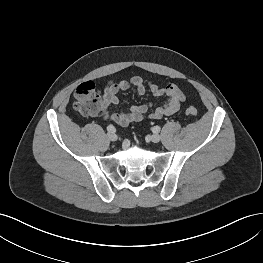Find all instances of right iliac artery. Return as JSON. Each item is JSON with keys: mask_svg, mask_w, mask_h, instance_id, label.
I'll return each instance as SVG.
<instances>
[{"mask_svg": "<svg viewBox=\"0 0 263 263\" xmlns=\"http://www.w3.org/2000/svg\"><path fill=\"white\" fill-rule=\"evenodd\" d=\"M107 131H108V132H115L116 129H115V127H114L113 125H109V126L107 127Z\"/></svg>", "mask_w": 263, "mask_h": 263, "instance_id": "1", "label": "right iliac artery"}]
</instances>
